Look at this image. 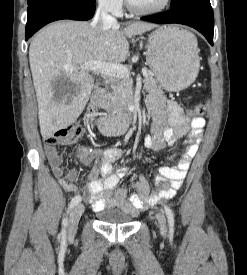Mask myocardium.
Returning a JSON list of instances; mask_svg holds the SVG:
<instances>
[{
	"label": "myocardium",
	"mask_w": 247,
	"mask_h": 275,
	"mask_svg": "<svg viewBox=\"0 0 247 275\" xmlns=\"http://www.w3.org/2000/svg\"><path fill=\"white\" fill-rule=\"evenodd\" d=\"M125 1H126L128 10L135 15H152V14L160 13L164 11L171 3V0H164V2L157 7L143 9V8L135 7L130 0H125Z\"/></svg>",
	"instance_id": "obj_1"
}]
</instances>
